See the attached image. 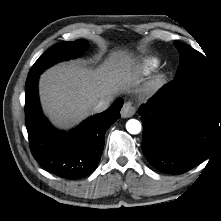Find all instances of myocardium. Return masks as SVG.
Wrapping results in <instances>:
<instances>
[{
  "mask_svg": "<svg viewBox=\"0 0 221 221\" xmlns=\"http://www.w3.org/2000/svg\"><path fill=\"white\" fill-rule=\"evenodd\" d=\"M165 76L163 74L156 75L150 84V89L154 90L163 85Z\"/></svg>",
  "mask_w": 221,
  "mask_h": 221,
  "instance_id": "f54148a6",
  "label": "myocardium"
}]
</instances>
